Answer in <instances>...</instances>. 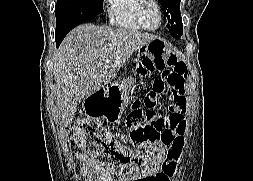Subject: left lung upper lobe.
<instances>
[{"instance_id": "obj_1", "label": "left lung upper lobe", "mask_w": 253, "mask_h": 181, "mask_svg": "<svg viewBox=\"0 0 253 181\" xmlns=\"http://www.w3.org/2000/svg\"><path fill=\"white\" fill-rule=\"evenodd\" d=\"M164 15L168 19L167 27L170 30V34L174 38H179L182 35L183 24L180 14V0H159Z\"/></svg>"}]
</instances>
